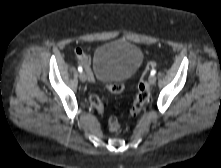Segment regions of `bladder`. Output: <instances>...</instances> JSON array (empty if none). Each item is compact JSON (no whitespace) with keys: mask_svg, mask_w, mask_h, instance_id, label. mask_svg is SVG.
<instances>
[{"mask_svg":"<svg viewBox=\"0 0 221 168\" xmlns=\"http://www.w3.org/2000/svg\"><path fill=\"white\" fill-rule=\"evenodd\" d=\"M143 61V53L125 40H114L96 48L93 70L100 82L123 81L133 76Z\"/></svg>","mask_w":221,"mask_h":168,"instance_id":"bladder-1","label":"bladder"}]
</instances>
